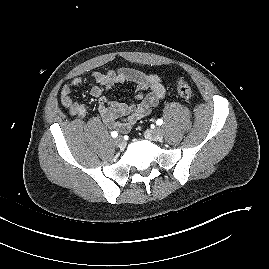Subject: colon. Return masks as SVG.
<instances>
[{
    "mask_svg": "<svg viewBox=\"0 0 269 269\" xmlns=\"http://www.w3.org/2000/svg\"><path fill=\"white\" fill-rule=\"evenodd\" d=\"M177 91L179 96L184 100H190L192 97L191 87L183 78H179L177 81Z\"/></svg>",
    "mask_w": 269,
    "mask_h": 269,
    "instance_id": "1",
    "label": "colon"
}]
</instances>
